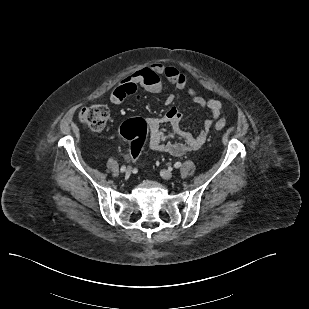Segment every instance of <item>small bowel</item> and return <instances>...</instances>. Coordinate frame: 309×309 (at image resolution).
<instances>
[{
    "label": "small bowel",
    "mask_w": 309,
    "mask_h": 309,
    "mask_svg": "<svg viewBox=\"0 0 309 309\" xmlns=\"http://www.w3.org/2000/svg\"><path fill=\"white\" fill-rule=\"evenodd\" d=\"M163 78H166L176 88L185 90L193 103L200 108H208L211 114L210 118L204 121L199 133L195 135L180 128L182 115L175 107H170L161 117L147 118L150 148L181 156L199 149L205 143L214 123L224 113V107L219 100H206L189 86L186 77L178 69L162 64L142 68L122 79L111 93L109 100L113 104H119L126 97L136 95L139 86L148 92L160 93L163 89ZM172 102L173 98L169 96L166 103L170 105ZM163 125L169 126L168 132L163 129ZM126 159L130 160V155H127Z\"/></svg>",
    "instance_id": "c3829d8e"
}]
</instances>
